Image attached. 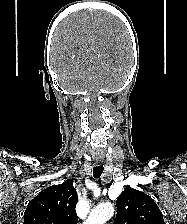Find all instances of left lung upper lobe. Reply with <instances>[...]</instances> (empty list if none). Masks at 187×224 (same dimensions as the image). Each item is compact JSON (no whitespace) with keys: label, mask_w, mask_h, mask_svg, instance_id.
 I'll return each mask as SVG.
<instances>
[{"label":"left lung upper lobe","mask_w":187,"mask_h":224,"mask_svg":"<svg viewBox=\"0 0 187 224\" xmlns=\"http://www.w3.org/2000/svg\"><path fill=\"white\" fill-rule=\"evenodd\" d=\"M114 224H165L162 212L144 192L126 186L117 198Z\"/></svg>","instance_id":"5c2ea615"}]
</instances>
